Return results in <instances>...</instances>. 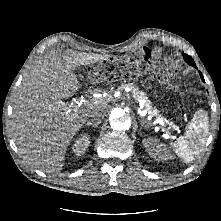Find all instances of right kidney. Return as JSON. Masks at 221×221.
<instances>
[{"label":"right kidney","mask_w":221,"mask_h":221,"mask_svg":"<svg viewBox=\"0 0 221 221\" xmlns=\"http://www.w3.org/2000/svg\"><path fill=\"white\" fill-rule=\"evenodd\" d=\"M90 144L89 137L86 134L78 137L72 145V151L76 156H82Z\"/></svg>","instance_id":"obj_1"}]
</instances>
